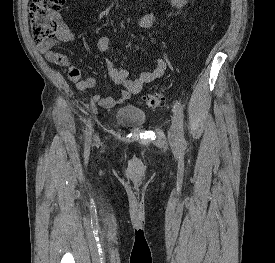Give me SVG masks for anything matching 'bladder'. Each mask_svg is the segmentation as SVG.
<instances>
[{
  "mask_svg": "<svg viewBox=\"0 0 275 263\" xmlns=\"http://www.w3.org/2000/svg\"><path fill=\"white\" fill-rule=\"evenodd\" d=\"M115 120L127 127H141L146 122V114L134 105L126 104L116 111Z\"/></svg>",
  "mask_w": 275,
  "mask_h": 263,
  "instance_id": "1",
  "label": "bladder"
}]
</instances>
